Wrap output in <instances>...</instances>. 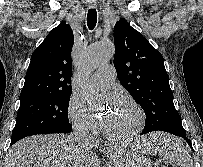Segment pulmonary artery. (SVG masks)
I'll list each match as a JSON object with an SVG mask.
<instances>
[{"mask_svg": "<svg viewBox=\"0 0 203 167\" xmlns=\"http://www.w3.org/2000/svg\"><path fill=\"white\" fill-rule=\"evenodd\" d=\"M115 77V68L112 65H104L94 73L92 84L100 90H106L113 85Z\"/></svg>", "mask_w": 203, "mask_h": 167, "instance_id": "pulmonary-artery-1", "label": "pulmonary artery"}]
</instances>
